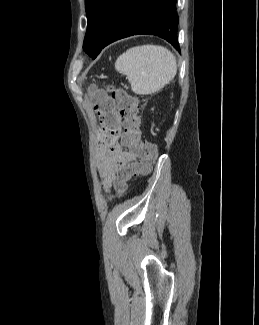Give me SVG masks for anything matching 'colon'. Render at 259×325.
I'll return each instance as SVG.
<instances>
[{"mask_svg":"<svg viewBox=\"0 0 259 325\" xmlns=\"http://www.w3.org/2000/svg\"><path fill=\"white\" fill-rule=\"evenodd\" d=\"M91 100L100 117L102 128L107 133L120 129L119 119L124 129L123 143L138 157V161L119 170L113 179L114 195L110 200L123 195L131 177L147 174L157 159L156 147L141 139L139 101L123 88L107 86L105 89L91 88Z\"/></svg>","mask_w":259,"mask_h":325,"instance_id":"5ec220e1","label":"colon"}]
</instances>
